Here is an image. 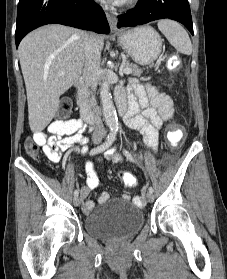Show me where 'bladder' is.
<instances>
[{"label": "bladder", "mask_w": 227, "mask_h": 279, "mask_svg": "<svg viewBox=\"0 0 227 279\" xmlns=\"http://www.w3.org/2000/svg\"><path fill=\"white\" fill-rule=\"evenodd\" d=\"M84 224L86 232L95 238L123 239L142 228L144 215L132 202L114 198L99 205Z\"/></svg>", "instance_id": "bladder-1"}]
</instances>
